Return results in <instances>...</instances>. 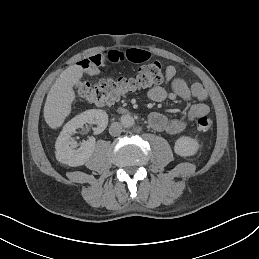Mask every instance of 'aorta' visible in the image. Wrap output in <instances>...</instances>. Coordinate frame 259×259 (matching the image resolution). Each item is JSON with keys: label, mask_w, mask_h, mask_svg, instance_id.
Segmentation results:
<instances>
[{"label": "aorta", "mask_w": 259, "mask_h": 259, "mask_svg": "<svg viewBox=\"0 0 259 259\" xmlns=\"http://www.w3.org/2000/svg\"><path fill=\"white\" fill-rule=\"evenodd\" d=\"M134 123H135L134 118L130 115H123L121 117V124L125 128L132 127Z\"/></svg>", "instance_id": "762f6f07"}]
</instances>
